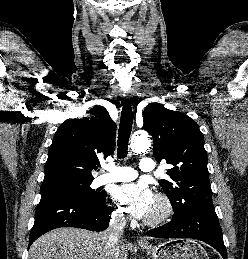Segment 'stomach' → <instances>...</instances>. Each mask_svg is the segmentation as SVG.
Listing matches in <instances>:
<instances>
[{"instance_id":"0dacf381","label":"stomach","mask_w":248,"mask_h":259,"mask_svg":"<svg viewBox=\"0 0 248 259\" xmlns=\"http://www.w3.org/2000/svg\"><path fill=\"white\" fill-rule=\"evenodd\" d=\"M152 259H209L206 250L194 240L172 239L157 246L141 245Z\"/></svg>"}]
</instances>
